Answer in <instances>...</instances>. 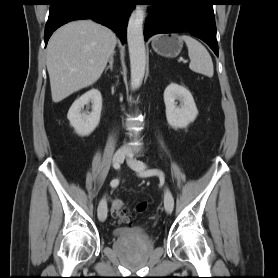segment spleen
<instances>
[{"instance_id": "1", "label": "spleen", "mask_w": 278, "mask_h": 278, "mask_svg": "<svg viewBox=\"0 0 278 278\" xmlns=\"http://www.w3.org/2000/svg\"><path fill=\"white\" fill-rule=\"evenodd\" d=\"M181 39L185 41L188 47L190 69L194 72L212 77L214 74V67L207 49L199 41L189 35H182Z\"/></svg>"}]
</instances>
